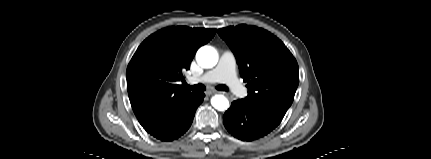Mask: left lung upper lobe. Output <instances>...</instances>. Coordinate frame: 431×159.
<instances>
[{
	"label": "left lung upper lobe",
	"mask_w": 431,
	"mask_h": 159,
	"mask_svg": "<svg viewBox=\"0 0 431 159\" xmlns=\"http://www.w3.org/2000/svg\"><path fill=\"white\" fill-rule=\"evenodd\" d=\"M233 51L247 83L248 105L284 117L299 84V67L291 52L270 32L249 25L218 30Z\"/></svg>",
	"instance_id": "1"
}]
</instances>
